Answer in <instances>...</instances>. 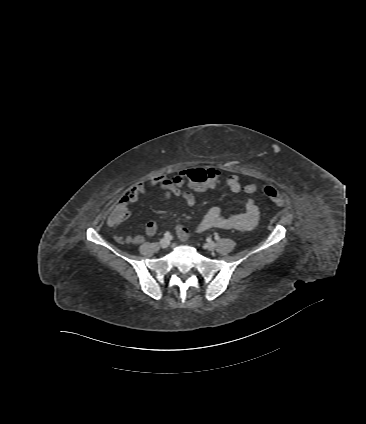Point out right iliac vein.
<instances>
[{
  "mask_svg": "<svg viewBox=\"0 0 366 424\" xmlns=\"http://www.w3.org/2000/svg\"><path fill=\"white\" fill-rule=\"evenodd\" d=\"M169 244H170V240L168 238H163L160 241V246L162 248H167L169 246Z\"/></svg>",
  "mask_w": 366,
  "mask_h": 424,
  "instance_id": "obj_1",
  "label": "right iliac vein"
}]
</instances>
